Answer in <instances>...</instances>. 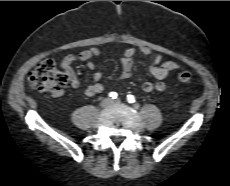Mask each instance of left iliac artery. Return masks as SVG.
<instances>
[{"label":"left iliac artery","mask_w":230,"mask_h":186,"mask_svg":"<svg viewBox=\"0 0 230 186\" xmlns=\"http://www.w3.org/2000/svg\"><path fill=\"white\" fill-rule=\"evenodd\" d=\"M127 101H128V103H134L135 97L133 95H127Z\"/></svg>","instance_id":"44dca946"}]
</instances>
